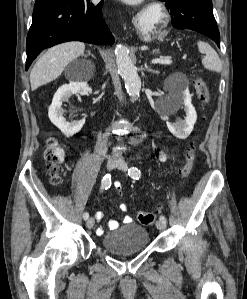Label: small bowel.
<instances>
[{"label":"small bowel","instance_id":"obj_1","mask_svg":"<svg viewBox=\"0 0 247 299\" xmlns=\"http://www.w3.org/2000/svg\"><path fill=\"white\" fill-rule=\"evenodd\" d=\"M160 159H161V161H165V160H166V156H165L164 154H161V155H160ZM118 185H119V183H116V184H115V188H116V189H117ZM119 192H120V191H119ZM119 208H120V210L123 211V212L127 210V207H126L125 204H121ZM103 217H104L103 212H97V213L95 214V218H96L97 221L102 220ZM131 221H132V219H131V217H129V216H126V217L124 218V222H131ZM107 227H108L110 230H115V229H117V228L119 227V223H118L116 220H109V221L107 222ZM104 232H105V230H104L103 227H99V228H97V230H96V233H97L98 235H102V234H104Z\"/></svg>","mask_w":247,"mask_h":299}]
</instances>
